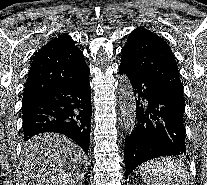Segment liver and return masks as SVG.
I'll list each match as a JSON object with an SVG mask.
<instances>
[{"instance_id":"6515ba94","label":"liver","mask_w":207,"mask_h":185,"mask_svg":"<svg viewBox=\"0 0 207 185\" xmlns=\"http://www.w3.org/2000/svg\"><path fill=\"white\" fill-rule=\"evenodd\" d=\"M19 185H79L88 159L79 145L60 133H40L24 143Z\"/></svg>"}]
</instances>
